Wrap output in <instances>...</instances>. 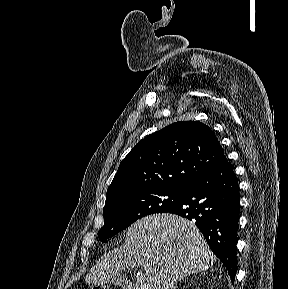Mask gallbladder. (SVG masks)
<instances>
[{"label": "gallbladder", "instance_id": "1", "mask_svg": "<svg viewBox=\"0 0 288 289\" xmlns=\"http://www.w3.org/2000/svg\"><path fill=\"white\" fill-rule=\"evenodd\" d=\"M111 282L116 284V285H119V286H128V279L127 277L122 274V273H119L117 274L116 276H114L112 279H111Z\"/></svg>", "mask_w": 288, "mask_h": 289}]
</instances>
